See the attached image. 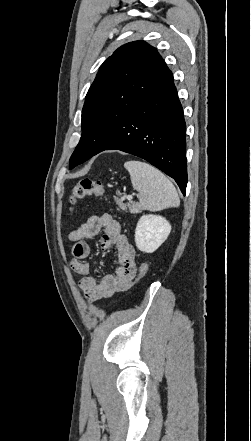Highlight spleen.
Wrapping results in <instances>:
<instances>
[{"label": "spleen", "mask_w": 251, "mask_h": 441, "mask_svg": "<svg viewBox=\"0 0 251 441\" xmlns=\"http://www.w3.org/2000/svg\"><path fill=\"white\" fill-rule=\"evenodd\" d=\"M124 167L130 174L133 188L139 192L142 208L160 211L179 206L176 188L161 171L137 160L125 162Z\"/></svg>", "instance_id": "spleen-1"}]
</instances>
